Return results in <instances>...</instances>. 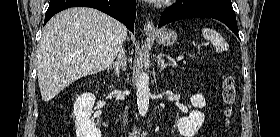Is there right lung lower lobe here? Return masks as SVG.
Returning a JSON list of instances; mask_svg holds the SVG:
<instances>
[{"mask_svg":"<svg viewBox=\"0 0 280 137\" xmlns=\"http://www.w3.org/2000/svg\"><path fill=\"white\" fill-rule=\"evenodd\" d=\"M136 0H50L45 14L44 24L56 13L74 6H85L98 9L122 22L134 32L136 19Z\"/></svg>","mask_w":280,"mask_h":137,"instance_id":"right-lung-lower-lobe-1","label":"right lung lower lobe"}]
</instances>
